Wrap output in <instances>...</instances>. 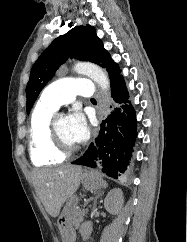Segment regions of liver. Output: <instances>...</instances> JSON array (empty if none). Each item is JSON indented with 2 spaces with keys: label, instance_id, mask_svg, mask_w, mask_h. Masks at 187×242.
Listing matches in <instances>:
<instances>
[{
  "label": "liver",
  "instance_id": "6515ba94",
  "mask_svg": "<svg viewBox=\"0 0 187 242\" xmlns=\"http://www.w3.org/2000/svg\"><path fill=\"white\" fill-rule=\"evenodd\" d=\"M81 177L82 167L77 165L37 169L33 172L36 193L50 216L55 218L59 215L65 201L78 189Z\"/></svg>",
  "mask_w": 187,
  "mask_h": 242
}]
</instances>
